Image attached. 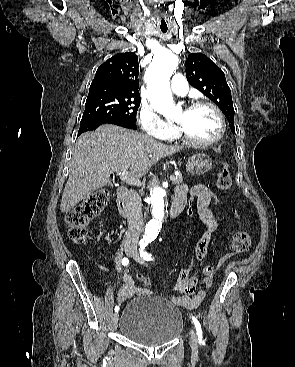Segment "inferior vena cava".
Returning a JSON list of instances; mask_svg holds the SVG:
<instances>
[{"mask_svg": "<svg viewBox=\"0 0 295 367\" xmlns=\"http://www.w3.org/2000/svg\"><path fill=\"white\" fill-rule=\"evenodd\" d=\"M128 230L125 233L124 246H136L143 230L142 203L140 196L134 190L129 193Z\"/></svg>", "mask_w": 295, "mask_h": 367, "instance_id": "1", "label": "inferior vena cava"}]
</instances>
